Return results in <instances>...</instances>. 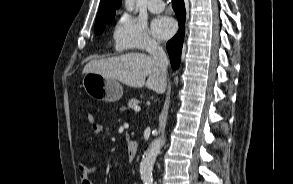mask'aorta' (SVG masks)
<instances>
[{"label": "aorta", "mask_w": 293, "mask_h": 184, "mask_svg": "<svg viewBox=\"0 0 293 184\" xmlns=\"http://www.w3.org/2000/svg\"><path fill=\"white\" fill-rule=\"evenodd\" d=\"M135 0H125L126 10L129 12L134 11ZM165 139L159 137L155 139L149 146L148 150L144 154L142 161L140 163V175L143 181V184H152L153 183V166L156 161L158 154L162 146L164 145Z\"/></svg>", "instance_id": "obj_1"}]
</instances>
